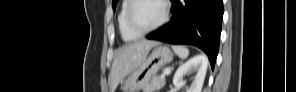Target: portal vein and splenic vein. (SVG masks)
<instances>
[{"instance_id": "1", "label": "portal vein and splenic vein", "mask_w": 296, "mask_h": 92, "mask_svg": "<svg viewBox=\"0 0 296 92\" xmlns=\"http://www.w3.org/2000/svg\"><path fill=\"white\" fill-rule=\"evenodd\" d=\"M170 72L169 71H165L163 74H161V78H165L166 75H168Z\"/></svg>"}]
</instances>
